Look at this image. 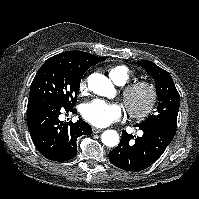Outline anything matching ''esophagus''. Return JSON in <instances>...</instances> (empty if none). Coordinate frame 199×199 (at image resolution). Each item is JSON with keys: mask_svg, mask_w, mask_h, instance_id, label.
Masks as SVG:
<instances>
[{"mask_svg": "<svg viewBox=\"0 0 199 199\" xmlns=\"http://www.w3.org/2000/svg\"><path fill=\"white\" fill-rule=\"evenodd\" d=\"M103 130L102 129H99V128H92V132L94 133V134H97V133H100V132H102Z\"/></svg>", "mask_w": 199, "mask_h": 199, "instance_id": "1", "label": "esophagus"}]
</instances>
